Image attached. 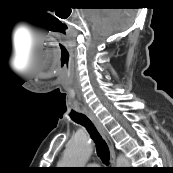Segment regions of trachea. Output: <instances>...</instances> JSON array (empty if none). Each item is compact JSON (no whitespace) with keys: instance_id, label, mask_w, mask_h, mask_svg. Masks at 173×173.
Instances as JSON below:
<instances>
[{"instance_id":"3493384b","label":"trachea","mask_w":173,"mask_h":173,"mask_svg":"<svg viewBox=\"0 0 173 173\" xmlns=\"http://www.w3.org/2000/svg\"><path fill=\"white\" fill-rule=\"evenodd\" d=\"M71 118L74 122L81 124L86 128L96 144L97 155L104 164H108L110 158L108 145L96 129L93 122L86 115L81 113H74Z\"/></svg>"}]
</instances>
